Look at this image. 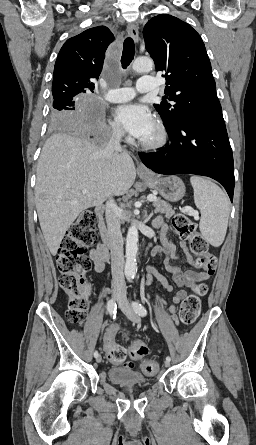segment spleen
<instances>
[{
	"mask_svg": "<svg viewBox=\"0 0 256 445\" xmlns=\"http://www.w3.org/2000/svg\"><path fill=\"white\" fill-rule=\"evenodd\" d=\"M194 202L201 213L199 228L212 246H220L225 238L230 214L229 200L223 190L212 181L192 176Z\"/></svg>",
	"mask_w": 256,
	"mask_h": 445,
	"instance_id": "3e777b00",
	"label": "spleen"
}]
</instances>
